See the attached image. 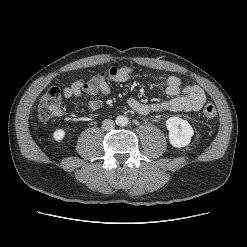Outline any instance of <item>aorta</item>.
Masks as SVG:
<instances>
[{
    "label": "aorta",
    "mask_w": 247,
    "mask_h": 247,
    "mask_svg": "<svg viewBox=\"0 0 247 247\" xmlns=\"http://www.w3.org/2000/svg\"><path fill=\"white\" fill-rule=\"evenodd\" d=\"M116 123L118 125H127L128 124V118L126 116H118L116 119Z\"/></svg>",
    "instance_id": "762f6f07"
}]
</instances>
